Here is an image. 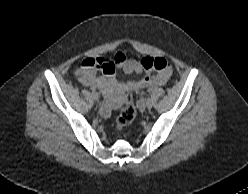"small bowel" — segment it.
<instances>
[{
	"instance_id": "c3829d8e",
	"label": "small bowel",
	"mask_w": 248,
	"mask_h": 194,
	"mask_svg": "<svg viewBox=\"0 0 248 194\" xmlns=\"http://www.w3.org/2000/svg\"><path fill=\"white\" fill-rule=\"evenodd\" d=\"M145 59V58H144ZM143 60L127 58L122 52L114 55L108 62L103 57L86 58L76 70V78L85 86L99 89L105 98H109L114 92L121 90L137 91L148 87L165 85L172 74V66L168 63L166 70L152 73L143 66ZM121 69L127 75H141L131 81L122 82L116 79L115 72ZM111 105L106 103L101 107L104 116L110 114Z\"/></svg>"
}]
</instances>
